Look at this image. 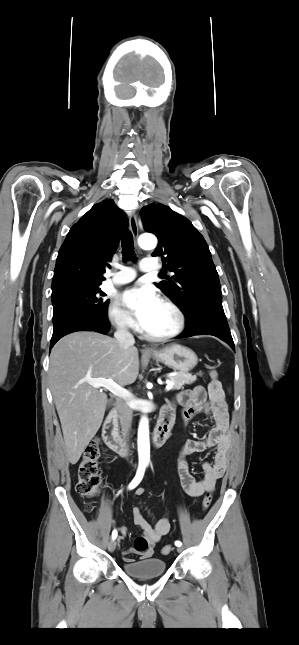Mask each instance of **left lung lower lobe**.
<instances>
[{
    "instance_id": "left-lung-lower-lobe-1",
    "label": "left lung lower lobe",
    "mask_w": 299,
    "mask_h": 645,
    "mask_svg": "<svg viewBox=\"0 0 299 645\" xmlns=\"http://www.w3.org/2000/svg\"><path fill=\"white\" fill-rule=\"evenodd\" d=\"M201 316V321L198 327H189L186 323L187 326L185 331L177 338H185L195 335H212L225 341L235 349L223 310L222 297L215 296L204 303L201 310Z\"/></svg>"
}]
</instances>
